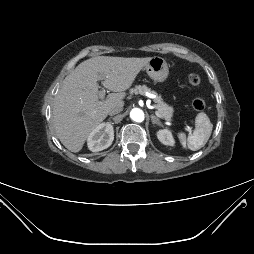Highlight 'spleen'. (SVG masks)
<instances>
[{"label":"spleen","mask_w":254,"mask_h":254,"mask_svg":"<svg viewBox=\"0 0 254 254\" xmlns=\"http://www.w3.org/2000/svg\"><path fill=\"white\" fill-rule=\"evenodd\" d=\"M213 124L206 113L201 112L195 118V129L187 138L184 133H179L178 138L184 147L192 151L201 149L208 141L212 133Z\"/></svg>","instance_id":"3e777b00"}]
</instances>
